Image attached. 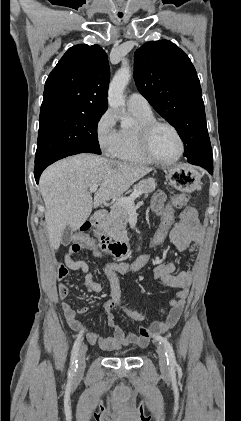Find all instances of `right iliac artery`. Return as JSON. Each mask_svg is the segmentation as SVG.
<instances>
[{
    "instance_id": "obj_1",
    "label": "right iliac artery",
    "mask_w": 241,
    "mask_h": 421,
    "mask_svg": "<svg viewBox=\"0 0 241 421\" xmlns=\"http://www.w3.org/2000/svg\"><path fill=\"white\" fill-rule=\"evenodd\" d=\"M82 332H80L77 336L76 341L74 342L73 345V349H72V353H71V364H70V369L68 372V376L69 378H72L76 372L77 369V358H78V353H79V348H80V343L82 341L81 337H82Z\"/></svg>"
}]
</instances>
